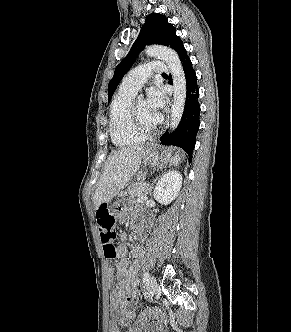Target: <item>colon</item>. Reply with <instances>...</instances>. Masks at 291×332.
<instances>
[{
    "label": "colon",
    "instance_id": "colon-1",
    "mask_svg": "<svg viewBox=\"0 0 291 332\" xmlns=\"http://www.w3.org/2000/svg\"><path fill=\"white\" fill-rule=\"evenodd\" d=\"M97 221L105 257L113 260L117 254L115 216L107 206H101L97 212ZM109 332H121L116 317L111 322Z\"/></svg>",
    "mask_w": 291,
    "mask_h": 332
}]
</instances>
